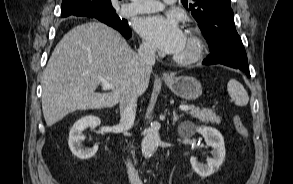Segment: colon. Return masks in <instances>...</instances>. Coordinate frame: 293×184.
I'll return each mask as SVG.
<instances>
[{
	"mask_svg": "<svg viewBox=\"0 0 293 184\" xmlns=\"http://www.w3.org/2000/svg\"><path fill=\"white\" fill-rule=\"evenodd\" d=\"M233 123H234V126H235L237 133L243 139L244 146H245L247 139H248V136H249V131H248L247 127L244 125V123L242 122V119L238 115L234 116ZM244 148L245 147H243V149Z\"/></svg>",
	"mask_w": 293,
	"mask_h": 184,
	"instance_id": "colon-1",
	"label": "colon"
}]
</instances>
